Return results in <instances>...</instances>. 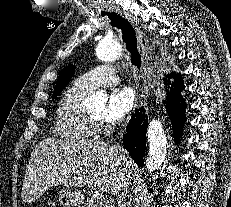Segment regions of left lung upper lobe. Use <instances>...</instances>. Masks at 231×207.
<instances>
[{
    "label": "left lung upper lobe",
    "instance_id": "5c2ea615",
    "mask_svg": "<svg viewBox=\"0 0 231 207\" xmlns=\"http://www.w3.org/2000/svg\"><path fill=\"white\" fill-rule=\"evenodd\" d=\"M75 72V67L73 65H68L60 73L56 86L53 93V98H55L68 84Z\"/></svg>",
    "mask_w": 231,
    "mask_h": 207
}]
</instances>
